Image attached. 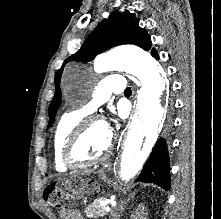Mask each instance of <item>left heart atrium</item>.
<instances>
[{
    "label": "left heart atrium",
    "mask_w": 221,
    "mask_h": 219,
    "mask_svg": "<svg viewBox=\"0 0 221 219\" xmlns=\"http://www.w3.org/2000/svg\"><path fill=\"white\" fill-rule=\"evenodd\" d=\"M104 127L109 130V125L107 123H104Z\"/></svg>",
    "instance_id": "39dd6f15"
}]
</instances>
